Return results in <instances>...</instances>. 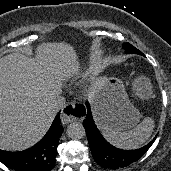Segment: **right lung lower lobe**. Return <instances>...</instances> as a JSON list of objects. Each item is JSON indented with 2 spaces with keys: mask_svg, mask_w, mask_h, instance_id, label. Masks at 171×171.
<instances>
[{
  "mask_svg": "<svg viewBox=\"0 0 171 171\" xmlns=\"http://www.w3.org/2000/svg\"><path fill=\"white\" fill-rule=\"evenodd\" d=\"M62 132L58 114L46 135L37 144L22 152L0 150V162L16 171H50L55 166Z\"/></svg>",
  "mask_w": 171,
  "mask_h": 171,
  "instance_id": "obj_1",
  "label": "right lung lower lobe"
}]
</instances>
